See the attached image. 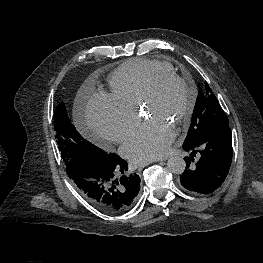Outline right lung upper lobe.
I'll return each mask as SVG.
<instances>
[{"mask_svg":"<svg viewBox=\"0 0 263 263\" xmlns=\"http://www.w3.org/2000/svg\"><path fill=\"white\" fill-rule=\"evenodd\" d=\"M121 209H115V211H120Z\"/></svg>","mask_w":263,"mask_h":263,"instance_id":"obj_1","label":"right lung upper lobe"}]
</instances>
